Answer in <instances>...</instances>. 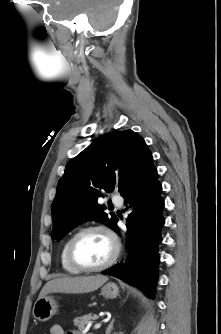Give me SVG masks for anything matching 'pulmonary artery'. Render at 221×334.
Wrapping results in <instances>:
<instances>
[{
	"label": "pulmonary artery",
	"instance_id": "obj_1",
	"mask_svg": "<svg viewBox=\"0 0 221 334\" xmlns=\"http://www.w3.org/2000/svg\"><path fill=\"white\" fill-rule=\"evenodd\" d=\"M112 201H113V203H114L115 205H117V206H121V205L123 204L122 199L119 198V197H113V198H112Z\"/></svg>",
	"mask_w": 221,
	"mask_h": 334
}]
</instances>
